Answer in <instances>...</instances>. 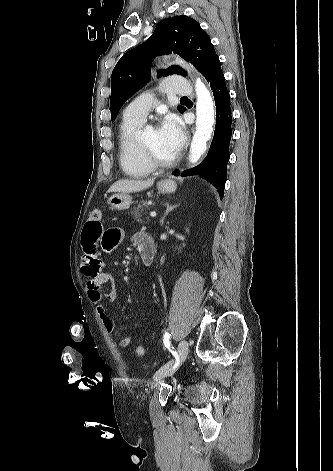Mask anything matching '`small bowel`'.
Instances as JSON below:
<instances>
[{
    "mask_svg": "<svg viewBox=\"0 0 333 471\" xmlns=\"http://www.w3.org/2000/svg\"><path fill=\"white\" fill-rule=\"evenodd\" d=\"M100 219L94 221L89 218L84 225L81 239L83 247L81 269L89 278L86 284L89 300L96 305L105 329L108 332H113L116 329V324L107 315L102 301L104 299L112 301L115 298L114 276L111 272L103 269L101 249L104 252L111 251L121 244L127 236L120 228L104 230ZM147 237L144 233H136L130 236V239L139 249ZM104 285H109L108 291L103 290ZM130 344L131 338L129 336L120 340L121 347H128Z\"/></svg>",
    "mask_w": 333,
    "mask_h": 471,
    "instance_id": "c3829d8e",
    "label": "small bowel"
}]
</instances>
